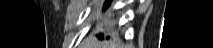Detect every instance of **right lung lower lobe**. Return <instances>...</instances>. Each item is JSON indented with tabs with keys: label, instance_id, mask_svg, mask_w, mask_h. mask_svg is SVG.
Segmentation results:
<instances>
[{
	"label": "right lung lower lobe",
	"instance_id": "1",
	"mask_svg": "<svg viewBox=\"0 0 213 48\" xmlns=\"http://www.w3.org/2000/svg\"><path fill=\"white\" fill-rule=\"evenodd\" d=\"M109 4H110V0H107L106 3H105V5H104V9L107 8L109 6Z\"/></svg>",
	"mask_w": 213,
	"mask_h": 48
}]
</instances>
